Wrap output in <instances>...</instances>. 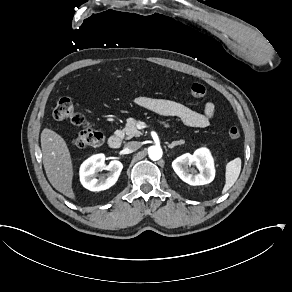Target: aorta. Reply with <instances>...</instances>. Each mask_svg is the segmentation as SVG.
<instances>
[{"label":"aorta","mask_w":292,"mask_h":292,"mask_svg":"<svg viewBox=\"0 0 292 292\" xmlns=\"http://www.w3.org/2000/svg\"><path fill=\"white\" fill-rule=\"evenodd\" d=\"M149 158L153 161H158L162 158L163 151L160 146H151L148 150Z\"/></svg>","instance_id":"aorta-1"}]
</instances>
